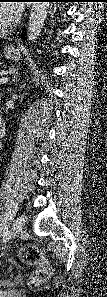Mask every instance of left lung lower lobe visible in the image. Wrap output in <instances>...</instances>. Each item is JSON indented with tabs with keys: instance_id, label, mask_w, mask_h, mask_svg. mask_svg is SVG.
I'll use <instances>...</instances> for the list:
<instances>
[{
	"instance_id": "obj_1",
	"label": "left lung lower lobe",
	"mask_w": 107,
	"mask_h": 297,
	"mask_svg": "<svg viewBox=\"0 0 107 297\" xmlns=\"http://www.w3.org/2000/svg\"><path fill=\"white\" fill-rule=\"evenodd\" d=\"M47 1H49V2H68L67 0H47Z\"/></svg>"
}]
</instances>
